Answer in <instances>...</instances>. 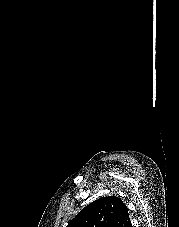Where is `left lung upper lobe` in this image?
<instances>
[{
  "mask_svg": "<svg viewBox=\"0 0 179 227\" xmlns=\"http://www.w3.org/2000/svg\"><path fill=\"white\" fill-rule=\"evenodd\" d=\"M67 227H132V224L124 202L116 196H106L83 208Z\"/></svg>",
  "mask_w": 179,
  "mask_h": 227,
  "instance_id": "5c2ea615",
  "label": "left lung upper lobe"
}]
</instances>
